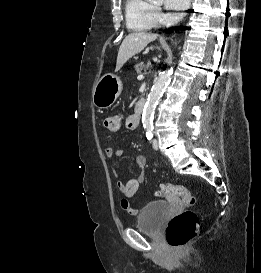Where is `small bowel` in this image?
Returning <instances> with one entry per match:
<instances>
[{
    "label": "small bowel",
    "mask_w": 261,
    "mask_h": 273,
    "mask_svg": "<svg viewBox=\"0 0 261 273\" xmlns=\"http://www.w3.org/2000/svg\"><path fill=\"white\" fill-rule=\"evenodd\" d=\"M124 124H125V127L129 130L136 128L137 126L135 125V122H134V114L125 116ZM124 152H125L124 148L114 149L112 147H107L105 149V155L108 158L120 157L124 154ZM135 163L138 167L141 168L142 172L140 173L138 178H133L126 182L122 181L119 178V174L117 173V171L113 169L114 176L116 177L117 188L123 194V198L120 201L121 208L132 215L137 214V210L131 207L129 199L136 193L138 188L143 184L145 180V173H144V168L146 166L145 156L137 155L135 157Z\"/></svg>",
    "instance_id": "c3829d8e"
}]
</instances>
